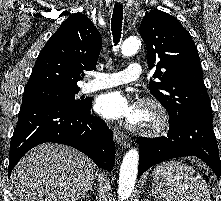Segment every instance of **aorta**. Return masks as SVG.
<instances>
[{"instance_id": "aorta-1", "label": "aorta", "mask_w": 221, "mask_h": 201, "mask_svg": "<svg viewBox=\"0 0 221 201\" xmlns=\"http://www.w3.org/2000/svg\"><path fill=\"white\" fill-rule=\"evenodd\" d=\"M141 43L136 37H129L121 46L123 56H132L138 52ZM138 150L131 148L124 156L119 173L118 196L120 201L130 197L137 178L138 171Z\"/></svg>"}]
</instances>
